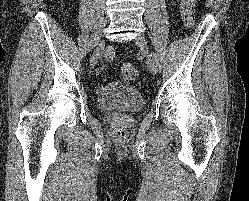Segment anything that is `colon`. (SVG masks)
Returning a JSON list of instances; mask_svg holds the SVG:
<instances>
[{"instance_id": "obj_1", "label": "colon", "mask_w": 249, "mask_h": 201, "mask_svg": "<svg viewBox=\"0 0 249 201\" xmlns=\"http://www.w3.org/2000/svg\"><path fill=\"white\" fill-rule=\"evenodd\" d=\"M195 1L196 0H181V17L187 29H191L195 24ZM120 74L126 80H134L137 76V69L131 63H123L120 66ZM114 133L118 138L124 137L123 125L120 122L114 124Z\"/></svg>"}]
</instances>
